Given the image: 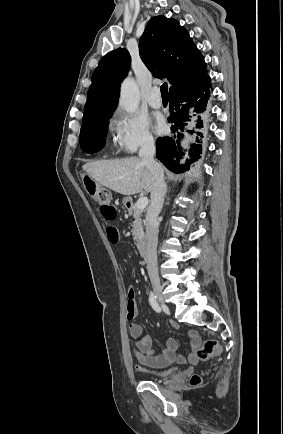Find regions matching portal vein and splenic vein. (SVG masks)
<instances>
[{"mask_svg":"<svg viewBox=\"0 0 283 434\" xmlns=\"http://www.w3.org/2000/svg\"><path fill=\"white\" fill-rule=\"evenodd\" d=\"M147 205H148V198L147 197L139 198L137 203H136V207L139 210H144Z\"/></svg>","mask_w":283,"mask_h":434,"instance_id":"portal-vein-and-splenic-vein-1","label":"portal vein and splenic vein"}]
</instances>
